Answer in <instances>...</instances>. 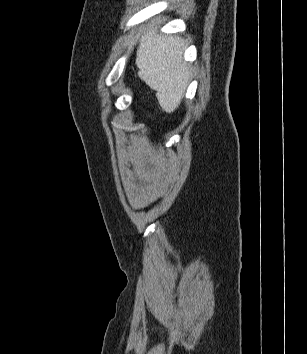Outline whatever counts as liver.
<instances>
[{
	"mask_svg": "<svg viewBox=\"0 0 307 354\" xmlns=\"http://www.w3.org/2000/svg\"><path fill=\"white\" fill-rule=\"evenodd\" d=\"M157 27L140 41L136 54L138 76L153 90L162 109L172 113L181 103L189 80L183 61L184 42L177 36H161Z\"/></svg>",
	"mask_w": 307,
	"mask_h": 354,
	"instance_id": "liver-1",
	"label": "liver"
}]
</instances>
